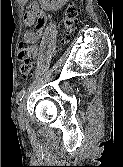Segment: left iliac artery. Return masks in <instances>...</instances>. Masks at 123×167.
<instances>
[{
  "mask_svg": "<svg viewBox=\"0 0 123 167\" xmlns=\"http://www.w3.org/2000/svg\"><path fill=\"white\" fill-rule=\"evenodd\" d=\"M25 93H26V90H25V89H22V90L18 93V95H17V97H16V102H17V103L23 99Z\"/></svg>",
  "mask_w": 123,
  "mask_h": 167,
  "instance_id": "44dca946",
  "label": "left iliac artery"
}]
</instances>
